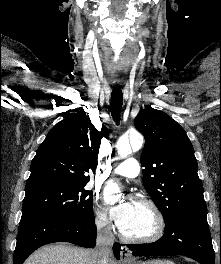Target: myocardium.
I'll use <instances>...</instances> for the list:
<instances>
[{
  "label": "myocardium",
  "mask_w": 221,
  "mask_h": 264,
  "mask_svg": "<svg viewBox=\"0 0 221 264\" xmlns=\"http://www.w3.org/2000/svg\"><path fill=\"white\" fill-rule=\"evenodd\" d=\"M137 203L145 205L151 211L155 219V229L153 233L143 237H132L119 229L121 238L126 242L136 244H148L158 241L164 235L166 228V222L162 211L153 200L146 197L138 198Z\"/></svg>",
  "instance_id": "f54148a6"
}]
</instances>
